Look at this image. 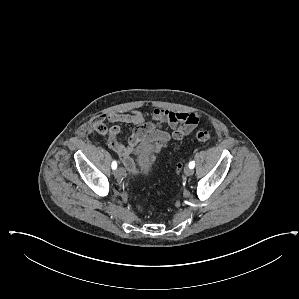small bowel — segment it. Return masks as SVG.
Returning a JSON list of instances; mask_svg holds the SVG:
<instances>
[{
	"instance_id": "c3829d8e",
	"label": "small bowel",
	"mask_w": 299,
	"mask_h": 299,
	"mask_svg": "<svg viewBox=\"0 0 299 299\" xmlns=\"http://www.w3.org/2000/svg\"><path fill=\"white\" fill-rule=\"evenodd\" d=\"M103 118L115 123L109 131V147L119 156L124 167L135 174L138 172V168L131 155L137 156L145 146L151 145L149 162L154 163L158 154L168 143L172 140H183L194 131L201 115L197 112H174L155 108L152 113L153 123L150 124L146 123L145 116L140 111L110 112L103 115ZM118 123L135 126L127 143H122L118 139L120 133ZM164 126L169 128L170 132L162 130L161 128Z\"/></svg>"
}]
</instances>
